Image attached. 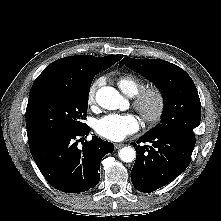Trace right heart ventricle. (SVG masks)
Returning <instances> with one entry per match:
<instances>
[{
  "label": "right heart ventricle",
  "instance_id": "e07e8e85",
  "mask_svg": "<svg viewBox=\"0 0 221 221\" xmlns=\"http://www.w3.org/2000/svg\"><path fill=\"white\" fill-rule=\"evenodd\" d=\"M117 84L126 95L135 96L144 86V82L135 75L125 74L118 78Z\"/></svg>",
  "mask_w": 221,
  "mask_h": 221
}]
</instances>
